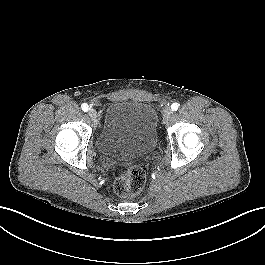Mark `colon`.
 I'll return each instance as SVG.
<instances>
[{
  "instance_id": "obj_1",
  "label": "colon",
  "mask_w": 265,
  "mask_h": 265,
  "mask_svg": "<svg viewBox=\"0 0 265 265\" xmlns=\"http://www.w3.org/2000/svg\"><path fill=\"white\" fill-rule=\"evenodd\" d=\"M145 171L139 166L125 170L114 181V191L117 195L129 198L141 193L145 185Z\"/></svg>"
}]
</instances>
